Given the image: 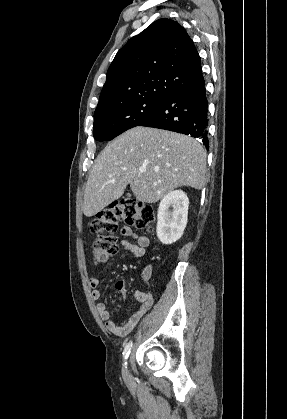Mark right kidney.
Masks as SVG:
<instances>
[{
	"label": "right kidney",
	"mask_w": 287,
	"mask_h": 419,
	"mask_svg": "<svg viewBox=\"0 0 287 419\" xmlns=\"http://www.w3.org/2000/svg\"><path fill=\"white\" fill-rule=\"evenodd\" d=\"M189 199L182 190L171 191L158 207L157 237L162 244H172L183 235L187 224Z\"/></svg>",
	"instance_id": "right-kidney-1"
}]
</instances>
